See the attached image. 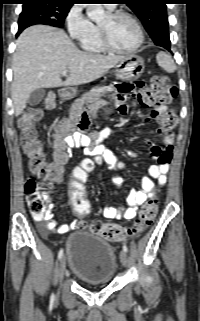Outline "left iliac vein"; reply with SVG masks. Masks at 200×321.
<instances>
[{
    "label": "left iliac vein",
    "mask_w": 200,
    "mask_h": 321,
    "mask_svg": "<svg viewBox=\"0 0 200 321\" xmlns=\"http://www.w3.org/2000/svg\"><path fill=\"white\" fill-rule=\"evenodd\" d=\"M120 260H121L122 265L126 267L128 264V256L124 250H122L120 252Z\"/></svg>",
    "instance_id": "4c4485c4"
}]
</instances>
